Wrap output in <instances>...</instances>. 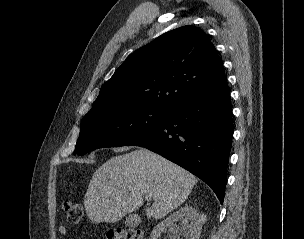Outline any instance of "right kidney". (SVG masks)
<instances>
[{
    "instance_id": "obj_1",
    "label": "right kidney",
    "mask_w": 304,
    "mask_h": 239,
    "mask_svg": "<svg viewBox=\"0 0 304 239\" xmlns=\"http://www.w3.org/2000/svg\"><path fill=\"white\" fill-rule=\"evenodd\" d=\"M167 228L169 239H199L202 229L201 217L195 208L185 205L157 224L150 239H158Z\"/></svg>"
}]
</instances>
